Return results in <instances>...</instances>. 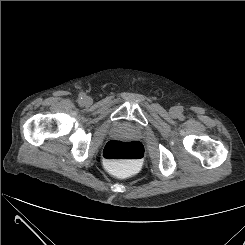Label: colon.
<instances>
[{"instance_id":"5ec220e1","label":"colon","mask_w":245,"mask_h":245,"mask_svg":"<svg viewBox=\"0 0 245 245\" xmlns=\"http://www.w3.org/2000/svg\"><path fill=\"white\" fill-rule=\"evenodd\" d=\"M144 158V148L138 141L111 140L103 149L105 164L117 171H135Z\"/></svg>"}]
</instances>
